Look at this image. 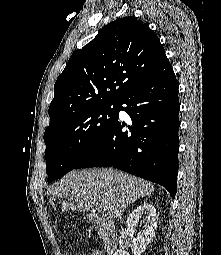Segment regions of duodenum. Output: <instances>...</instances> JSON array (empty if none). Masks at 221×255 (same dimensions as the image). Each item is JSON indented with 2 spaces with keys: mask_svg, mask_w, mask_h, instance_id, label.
Listing matches in <instances>:
<instances>
[{
  "mask_svg": "<svg viewBox=\"0 0 221 255\" xmlns=\"http://www.w3.org/2000/svg\"><path fill=\"white\" fill-rule=\"evenodd\" d=\"M88 219L97 225L106 252L113 253L118 243L114 223L108 217L97 214H89Z\"/></svg>",
  "mask_w": 221,
  "mask_h": 255,
  "instance_id": "1",
  "label": "duodenum"
}]
</instances>
